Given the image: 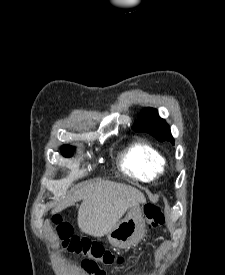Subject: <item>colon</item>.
<instances>
[{"instance_id":"colon-1","label":"colon","mask_w":225,"mask_h":275,"mask_svg":"<svg viewBox=\"0 0 225 275\" xmlns=\"http://www.w3.org/2000/svg\"><path fill=\"white\" fill-rule=\"evenodd\" d=\"M145 216L150 228H156L165 221L164 214L159 205L149 203L145 207ZM56 235L62 241V244L71 253L85 255L87 258L82 261L85 271L91 275H99L100 269L98 263L104 265H113L122 263L123 258L115 253L106 250L99 243L88 238H81L73 234L69 224L65 223L61 218L54 219Z\"/></svg>"}]
</instances>
